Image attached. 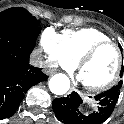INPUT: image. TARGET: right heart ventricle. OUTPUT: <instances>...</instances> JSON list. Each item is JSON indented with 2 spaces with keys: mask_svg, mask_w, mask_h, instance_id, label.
Masks as SVG:
<instances>
[{
  "mask_svg": "<svg viewBox=\"0 0 124 124\" xmlns=\"http://www.w3.org/2000/svg\"><path fill=\"white\" fill-rule=\"evenodd\" d=\"M60 36L66 57L75 64L95 44L110 41V37L106 33L92 27L67 29L62 31Z\"/></svg>",
  "mask_w": 124,
  "mask_h": 124,
  "instance_id": "obj_1",
  "label": "right heart ventricle"
}]
</instances>
